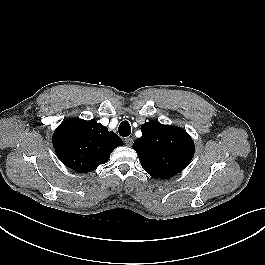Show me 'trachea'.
Returning <instances> with one entry per match:
<instances>
[{"label": "trachea", "instance_id": "obj_1", "mask_svg": "<svg viewBox=\"0 0 265 265\" xmlns=\"http://www.w3.org/2000/svg\"><path fill=\"white\" fill-rule=\"evenodd\" d=\"M119 134L123 137H127L131 134V126L128 121H122L119 125Z\"/></svg>", "mask_w": 265, "mask_h": 265}]
</instances>
